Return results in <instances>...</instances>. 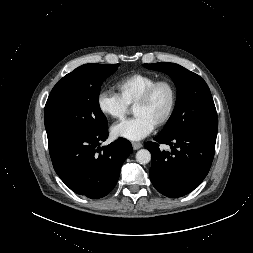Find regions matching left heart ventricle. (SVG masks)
I'll return each mask as SVG.
<instances>
[{"label": "left heart ventricle", "instance_id": "b2bd125f", "mask_svg": "<svg viewBox=\"0 0 253 253\" xmlns=\"http://www.w3.org/2000/svg\"><path fill=\"white\" fill-rule=\"evenodd\" d=\"M171 102V92L168 86H160L151 100L145 105H137L133 108L135 116H144L154 125L165 115Z\"/></svg>", "mask_w": 253, "mask_h": 253}]
</instances>
